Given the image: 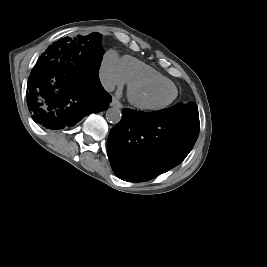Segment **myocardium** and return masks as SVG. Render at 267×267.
Wrapping results in <instances>:
<instances>
[{
  "mask_svg": "<svg viewBox=\"0 0 267 267\" xmlns=\"http://www.w3.org/2000/svg\"><path fill=\"white\" fill-rule=\"evenodd\" d=\"M162 84L171 85L175 90V94H174L173 98L165 104H161V105L145 104V103L139 101L135 96L136 90L141 88V87H145V86H149V85H162ZM178 93H179L178 88L176 87V85L173 82L161 81V80H156V79H141V80L132 81L129 83L128 89H127V95H128V99H129L130 103L132 105H134L135 107H137L138 109L146 110V111H159V110H163V109L169 107L177 99Z\"/></svg>",
  "mask_w": 267,
  "mask_h": 267,
  "instance_id": "obj_1",
  "label": "myocardium"
}]
</instances>
